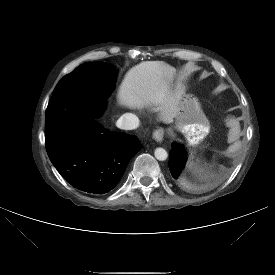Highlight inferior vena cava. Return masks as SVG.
<instances>
[{
  "instance_id": "obj_1",
  "label": "inferior vena cava",
  "mask_w": 275,
  "mask_h": 275,
  "mask_svg": "<svg viewBox=\"0 0 275 275\" xmlns=\"http://www.w3.org/2000/svg\"><path fill=\"white\" fill-rule=\"evenodd\" d=\"M116 126L124 130H133L139 126V119L132 113H125L117 120Z\"/></svg>"
}]
</instances>
